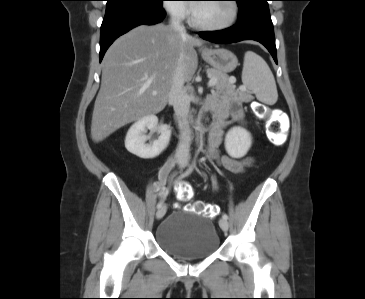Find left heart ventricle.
<instances>
[{
	"label": "left heart ventricle",
	"mask_w": 365,
	"mask_h": 299,
	"mask_svg": "<svg viewBox=\"0 0 365 299\" xmlns=\"http://www.w3.org/2000/svg\"><path fill=\"white\" fill-rule=\"evenodd\" d=\"M194 12L201 23L220 25L230 20L232 7L230 2L199 3L196 4Z\"/></svg>",
	"instance_id": "left-heart-ventricle-1"
}]
</instances>
